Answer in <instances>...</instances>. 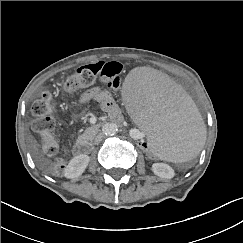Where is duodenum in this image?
<instances>
[{
    "label": "duodenum",
    "mask_w": 243,
    "mask_h": 243,
    "mask_svg": "<svg viewBox=\"0 0 243 243\" xmlns=\"http://www.w3.org/2000/svg\"><path fill=\"white\" fill-rule=\"evenodd\" d=\"M119 121H122L123 118L122 117H118ZM73 151L77 154V155H84L87 154L89 151V146L87 143L85 142H77L74 147H73Z\"/></svg>",
    "instance_id": "410a0bca"
}]
</instances>
